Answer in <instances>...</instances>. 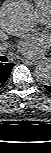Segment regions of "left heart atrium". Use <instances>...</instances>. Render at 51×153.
<instances>
[{
  "label": "left heart atrium",
  "instance_id": "left-heart-atrium-1",
  "mask_svg": "<svg viewBox=\"0 0 51 153\" xmlns=\"http://www.w3.org/2000/svg\"><path fill=\"white\" fill-rule=\"evenodd\" d=\"M46 43L44 36H37L32 39L19 43L18 49L27 57H35L39 54L40 46Z\"/></svg>",
  "mask_w": 51,
  "mask_h": 153
}]
</instances>
